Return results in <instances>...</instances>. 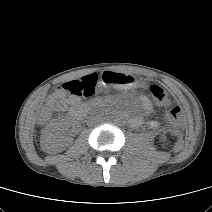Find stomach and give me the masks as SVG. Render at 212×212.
Segmentation results:
<instances>
[{
    "label": "stomach",
    "mask_w": 212,
    "mask_h": 212,
    "mask_svg": "<svg viewBox=\"0 0 212 212\" xmlns=\"http://www.w3.org/2000/svg\"><path fill=\"white\" fill-rule=\"evenodd\" d=\"M99 81L107 87L128 89L134 85L135 78L129 74L114 73L111 70H104L99 74Z\"/></svg>",
    "instance_id": "stomach-1"
}]
</instances>
